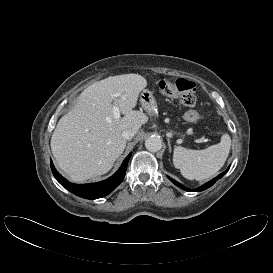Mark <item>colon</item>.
Masks as SVG:
<instances>
[{"label":"colon","mask_w":273,"mask_h":273,"mask_svg":"<svg viewBox=\"0 0 273 273\" xmlns=\"http://www.w3.org/2000/svg\"><path fill=\"white\" fill-rule=\"evenodd\" d=\"M159 87L165 94L178 98L185 106L193 107L196 104L195 84L187 79L163 80ZM184 119L194 123L200 119V115L195 110H189L184 113Z\"/></svg>","instance_id":"obj_1"}]
</instances>
